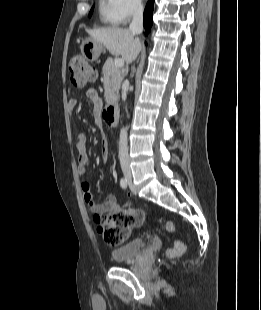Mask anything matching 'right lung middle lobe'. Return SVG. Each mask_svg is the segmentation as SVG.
<instances>
[{
    "label": "right lung middle lobe",
    "instance_id": "obj_1",
    "mask_svg": "<svg viewBox=\"0 0 261 310\" xmlns=\"http://www.w3.org/2000/svg\"><path fill=\"white\" fill-rule=\"evenodd\" d=\"M92 11H93V8L91 9V11H90V13H89V16H91V14H92Z\"/></svg>",
    "mask_w": 261,
    "mask_h": 310
}]
</instances>
